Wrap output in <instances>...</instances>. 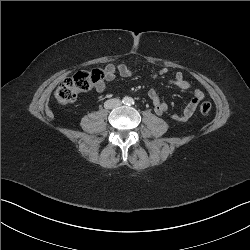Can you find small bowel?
<instances>
[{"label":"small bowel","mask_w":250,"mask_h":250,"mask_svg":"<svg viewBox=\"0 0 250 250\" xmlns=\"http://www.w3.org/2000/svg\"><path fill=\"white\" fill-rule=\"evenodd\" d=\"M168 72L167 68L159 69L151 74L153 80L165 75ZM104 78L95 85V90L98 93H103L106 90V83L112 82L116 75L127 78L133 74L131 67L125 64H112L109 63L103 70ZM168 83L174 87H177L184 91H190L192 93V99L186 105L181 114H174L171 119L175 122L185 123L187 122L197 110L199 104L204 99V93L197 87H194L188 80H186L181 72L175 73L174 77L168 81ZM148 97L151 100L153 109L157 115H162L168 110V105L161 99L159 94L154 88L148 90Z\"/></svg>","instance_id":"small-bowel-1"}]
</instances>
